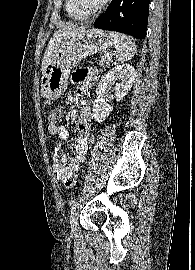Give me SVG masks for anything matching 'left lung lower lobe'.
<instances>
[{"label": "left lung lower lobe", "mask_w": 195, "mask_h": 270, "mask_svg": "<svg viewBox=\"0 0 195 270\" xmlns=\"http://www.w3.org/2000/svg\"><path fill=\"white\" fill-rule=\"evenodd\" d=\"M150 0H112L94 26L143 39L146 35Z\"/></svg>", "instance_id": "left-lung-lower-lobe-1"}]
</instances>
